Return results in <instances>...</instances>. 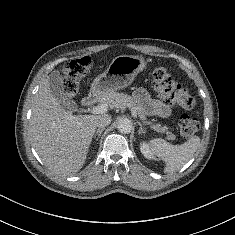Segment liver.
I'll return each instance as SVG.
<instances>
[{"mask_svg":"<svg viewBox=\"0 0 235 235\" xmlns=\"http://www.w3.org/2000/svg\"><path fill=\"white\" fill-rule=\"evenodd\" d=\"M100 115H73L53 95L49 77L35 95L30 132L44 164L55 173L73 175L85 163Z\"/></svg>","mask_w":235,"mask_h":235,"instance_id":"liver-1","label":"liver"}]
</instances>
